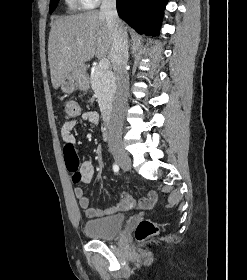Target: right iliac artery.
Wrapping results in <instances>:
<instances>
[{
	"label": "right iliac artery",
	"mask_w": 247,
	"mask_h": 280,
	"mask_svg": "<svg viewBox=\"0 0 247 280\" xmlns=\"http://www.w3.org/2000/svg\"><path fill=\"white\" fill-rule=\"evenodd\" d=\"M113 170L115 173L119 171V166L116 163L113 164Z\"/></svg>",
	"instance_id": "82829eb1"
}]
</instances>
